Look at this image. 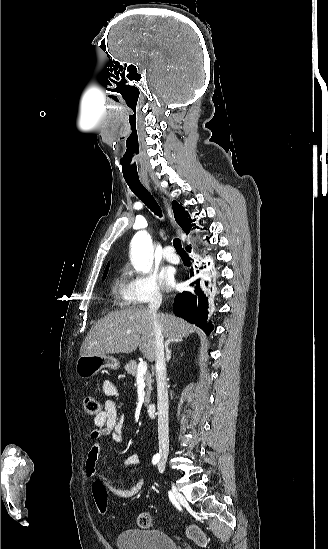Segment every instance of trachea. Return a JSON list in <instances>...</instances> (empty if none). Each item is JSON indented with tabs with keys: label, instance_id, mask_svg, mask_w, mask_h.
Returning <instances> with one entry per match:
<instances>
[{
	"label": "trachea",
	"instance_id": "3493384b",
	"mask_svg": "<svg viewBox=\"0 0 328 549\" xmlns=\"http://www.w3.org/2000/svg\"><path fill=\"white\" fill-rule=\"evenodd\" d=\"M129 188L132 192L157 216L162 217V211L159 205L157 204L154 197L145 189L141 184L140 180H130L126 181ZM174 248L176 252L182 256L187 255L186 251L183 249L181 240L175 238L173 240Z\"/></svg>",
	"mask_w": 328,
	"mask_h": 549
}]
</instances>
